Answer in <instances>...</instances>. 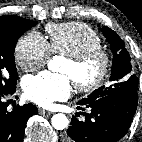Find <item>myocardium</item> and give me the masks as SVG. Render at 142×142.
Instances as JSON below:
<instances>
[{
  "label": "myocardium",
  "mask_w": 142,
  "mask_h": 142,
  "mask_svg": "<svg viewBox=\"0 0 142 142\" xmlns=\"http://www.w3.org/2000/svg\"><path fill=\"white\" fill-rule=\"evenodd\" d=\"M67 60L76 68H82L93 61H97L100 65L98 74L92 80H73L78 91L92 92L100 88L109 76L111 69V58L109 53L101 47L84 51L78 55L67 56Z\"/></svg>",
  "instance_id": "f54148a6"
}]
</instances>
